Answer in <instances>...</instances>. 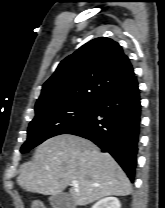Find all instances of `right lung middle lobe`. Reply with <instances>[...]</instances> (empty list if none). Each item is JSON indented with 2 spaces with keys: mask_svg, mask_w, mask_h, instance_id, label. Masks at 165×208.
Returning <instances> with one entry per match:
<instances>
[{
  "mask_svg": "<svg viewBox=\"0 0 165 208\" xmlns=\"http://www.w3.org/2000/svg\"><path fill=\"white\" fill-rule=\"evenodd\" d=\"M96 103L69 101L36 109L35 117L30 122L27 131V141L20 151L28 152L48 138L74 129L90 115Z\"/></svg>",
  "mask_w": 165,
  "mask_h": 208,
  "instance_id": "right-lung-middle-lobe-1",
  "label": "right lung middle lobe"
}]
</instances>
